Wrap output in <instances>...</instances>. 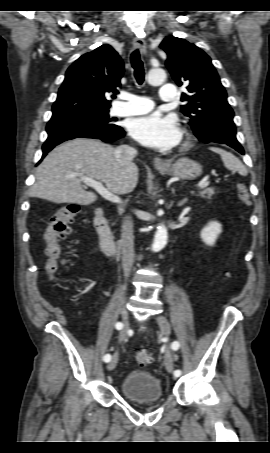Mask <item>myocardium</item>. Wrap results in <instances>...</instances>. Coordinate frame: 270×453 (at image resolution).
Listing matches in <instances>:
<instances>
[{"instance_id":"myocardium-1","label":"myocardium","mask_w":270,"mask_h":453,"mask_svg":"<svg viewBox=\"0 0 270 453\" xmlns=\"http://www.w3.org/2000/svg\"><path fill=\"white\" fill-rule=\"evenodd\" d=\"M188 146H189V141L186 139V140H184L183 143H182V149H185V148H187Z\"/></svg>"}]
</instances>
